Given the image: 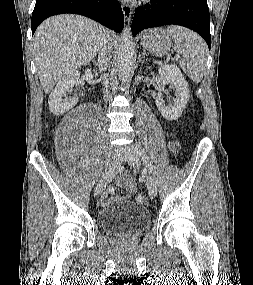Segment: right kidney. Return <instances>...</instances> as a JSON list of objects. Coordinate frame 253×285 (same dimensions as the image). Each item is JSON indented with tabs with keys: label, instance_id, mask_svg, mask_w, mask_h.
Returning a JSON list of instances; mask_svg holds the SVG:
<instances>
[{
	"label": "right kidney",
	"instance_id": "1",
	"mask_svg": "<svg viewBox=\"0 0 253 285\" xmlns=\"http://www.w3.org/2000/svg\"><path fill=\"white\" fill-rule=\"evenodd\" d=\"M85 76L87 80H91L93 78L90 69H86ZM79 77V71H72L58 81L48 100L50 111L54 115H62L77 104L78 98L76 97H72L68 101L64 102L62 101V97L75 83L78 82Z\"/></svg>",
	"mask_w": 253,
	"mask_h": 285
}]
</instances>
